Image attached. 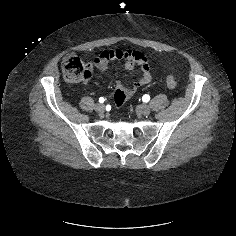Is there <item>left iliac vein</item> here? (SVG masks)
I'll use <instances>...</instances> for the list:
<instances>
[{
    "label": "left iliac vein",
    "mask_w": 236,
    "mask_h": 236,
    "mask_svg": "<svg viewBox=\"0 0 236 236\" xmlns=\"http://www.w3.org/2000/svg\"><path fill=\"white\" fill-rule=\"evenodd\" d=\"M138 110L139 112L142 114V115H149L150 112H151V109L148 105L146 104H142L138 107Z\"/></svg>",
    "instance_id": "4c4485c4"
}]
</instances>
